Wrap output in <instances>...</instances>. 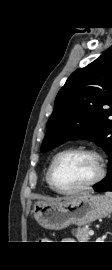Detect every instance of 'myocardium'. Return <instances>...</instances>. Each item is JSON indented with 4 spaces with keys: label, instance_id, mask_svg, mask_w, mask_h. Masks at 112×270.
I'll return each instance as SVG.
<instances>
[{
    "label": "myocardium",
    "instance_id": "myocardium-1",
    "mask_svg": "<svg viewBox=\"0 0 112 270\" xmlns=\"http://www.w3.org/2000/svg\"><path fill=\"white\" fill-rule=\"evenodd\" d=\"M70 153H81V154H87V155L92 156L96 160V163H97V174L91 181H89L88 183H86L82 186H79V187H76L73 189H62L56 184V182L54 180V168H55V165H56L57 161L59 160V158H61L63 155L70 154ZM105 175H106L105 159L101 153H99L97 150H95L93 148L71 147V148H67V149H64V150L58 152L53 157V159L49 165L48 171H47V180H48L50 187L55 192H57L59 194H63V195H72V194L84 192V191L96 186L98 183H100L104 179Z\"/></svg>",
    "mask_w": 112,
    "mask_h": 270
}]
</instances>
